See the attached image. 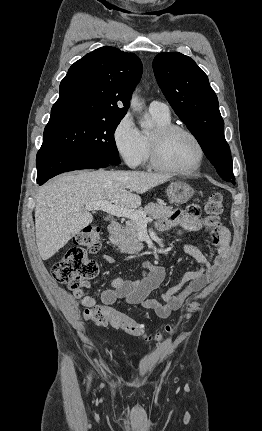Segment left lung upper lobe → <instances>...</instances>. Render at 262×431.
Returning <instances> with one entry per match:
<instances>
[{"instance_id":"left-lung-upper-lobe-1","label":"left lung upper lobe","mask_w":262,"mask_h":431,"mask_svg":"<svg viewBox=\"0 0 262 431\" xmlns=\"http://www.w3.org/2000/svg\"><path fill=\"white\" fill-rule=\"evenodd\" d=\"M153 69L166 99L195 136L218 174L235 184L224 121L207 75L193 59L179 52L156 55Z\"/></svg>"}]
</instances>
